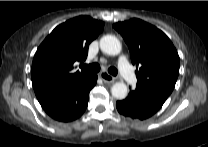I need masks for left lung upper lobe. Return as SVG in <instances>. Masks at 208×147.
Segmentation results:
<instances>
[{"mask_svg":"<svg viewBox=\"0 0 208 147\" xmlns=\"http://www.w3.org/2000/svg\"><path fill=\"white\" fill-rule=\"evenodd\" d=\"M113 27L128 45L132 64L137 68V85L169 96L180 67L178 53L170 39L155 26L136 18L118 22Z\"/></svg>","mask_w":208,"mask_h":147,"instance_id":"1","label":"left lung upper lobe"}]
</instances>
